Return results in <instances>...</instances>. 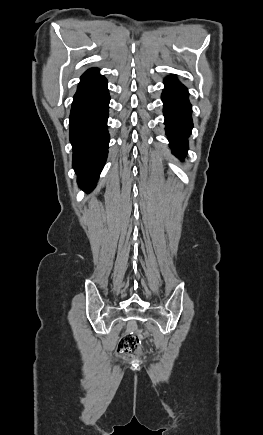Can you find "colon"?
I'll use <instances>...</instances> for the list:
<instances>
[{
    "mask_svg": "<svg viewBox=\"0 0 263 435\" xmlns=\"http://www.w3.org/2000/svg\"><path fill=\"white\" fill-rule=\"evenodd\" d=\"M145 333L146 332L144 330H132L130 333L122 336L117 346L118 354L126 359L132 358L136 353L140 351V338L146 339L148 337Z\"/></svg>",
    "mask_w": 263,
    "mask_h": 435,
    "instance_id": "colon-1",
    "label": "colon"
}]
</instances>
